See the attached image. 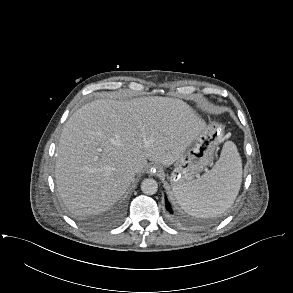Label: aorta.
<instances>
[{
    "label": "aorta",
    "instance_id": "762f6f07",
    "mask_svg": "<svg viewBox=\"0 0 293 293\" xmlns=\"http://www.w3.org/2000/svg\"><path fill=\"white\" fill-rule=\"evenodd\" d=\"M141 190L146 195H153L158 190V184L156 180L152 178L144 179L141 183Z\"/></svg>",
    "mask_w": 293,
    "mask_h": 293
}]
</instances>
